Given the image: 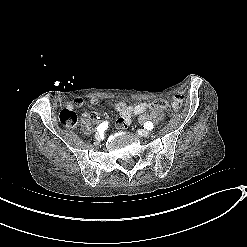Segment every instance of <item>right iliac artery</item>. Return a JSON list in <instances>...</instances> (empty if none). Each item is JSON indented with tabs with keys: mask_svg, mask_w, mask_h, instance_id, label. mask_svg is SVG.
Listing matches in <instances>:
<instances>
[{
	"mask_svg": "<svg viewBox=\"0 0 247 247\" xmlns=\"http://www.w3.org/2000/svg\"><path fill=\"white\" fill-rule=\"evenodd\" d=\"M108 127V122H103L97 127V131L104 132Z\"/></svg>",
	"mask_w": 247,
	"mask_h": 247,
	"instance_id": "obj_1",
	"label": "right iliac artery"
}]
</instances>
